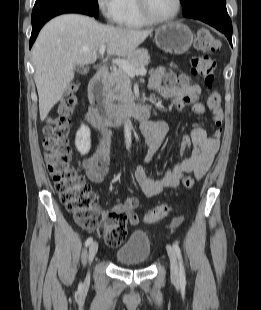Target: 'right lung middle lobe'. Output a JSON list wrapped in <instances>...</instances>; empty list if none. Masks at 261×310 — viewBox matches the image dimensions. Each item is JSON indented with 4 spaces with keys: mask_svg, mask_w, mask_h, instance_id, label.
Here are the masks:
<instances>
[{
    "mask_svg": "<svg viewBox=\"0 0 261 310\" xmlns=\"http://www.w3.org/2000/svg\"><path fill=\"white\" fill-rule=\"evenodd\" d=\"M58 6L77 7L90 11L95 18H98L97 0H36L32 16L39 12Z\"/></svg>",
    "mask_w": 261,
    "mask_h": 310,
    "instance_id": "right-lung-middle-lobe-1",
    "label": "right lung middle lobe"
}]
</instances>
